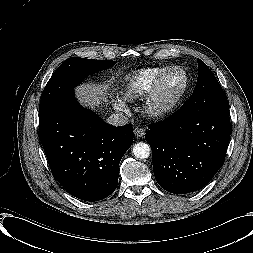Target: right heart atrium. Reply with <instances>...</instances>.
<instances>
[{"instance_id": "d8ad5b80", "label": "right heart atrium", "mask_w": 253, "mask_h": 253, "mask_svg": "<svg viewBox=\"0 0 253 253\" xmlns=\"http://www.w3.org/2000/svg\"><path fill=\"white\" fill-rule=\"evenodd\" d=\"M115 106L120 111H126L128 109L127 104L124 101H117Z\"/></svg>"}]
</instances>
